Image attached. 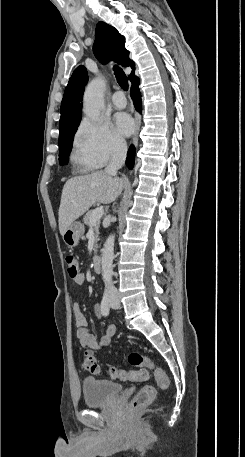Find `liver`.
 Here are the masks:
<instances>
[{"mask_svg": "<svg viewBox=\"0 0 245 457\" xmlns=\"http://www.w3.org/2000/svg\"><path fill=\"white\" fill-rule=\"evenodd\" d=\"M123 190V180L104 170H97L85 176H72L66 180L59 206V231L63 235L68 226L84 214L96 200L112 202Z\"/></svg>", "mask_w": 245, "mask_h": 457, "instance_id": "6515ba94", "label": "liver"}]
</instances>
